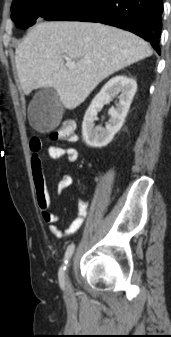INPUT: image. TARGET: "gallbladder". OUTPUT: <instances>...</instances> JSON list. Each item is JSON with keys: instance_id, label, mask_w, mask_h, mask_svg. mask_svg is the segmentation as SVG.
<instances>
[{"instance_id": "obj_1", "label": "gallbladder", "mask_w": 171, "mask_h": 337, "mask_svg": "<svg viewBox=\"0 0 171 337\" xmlns=\"http://www.w3.org/2000/svg\"><path fill=\"white\" fill-rule=\"evenodd\" d=\"M63 115V106L53 88H43L32 99L28 117L33 128L46 132L54 129Z\"/></svg>"}]
</instances>
